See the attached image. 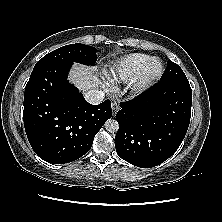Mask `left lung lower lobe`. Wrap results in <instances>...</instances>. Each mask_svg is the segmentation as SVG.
<instances>
[{"label": "left lung lower lobe", "mask_w": 222, "mask_h": 222, "mask_svg": "<svg viewBox=\"0 0 222 222\" xmlns=\"http://www.w3.org/2000/svg\"><path fill=\"white\" fill-rule=\"evenodd\" d=\"M189 82H158L136 98L120 103L115 148L125 161L142 168L157 166L183 141L191 117Z\"/></svg>", "instance_id": "obj_1"}]
</instances>
